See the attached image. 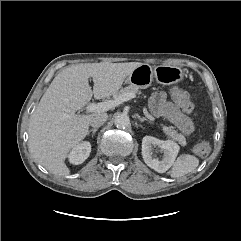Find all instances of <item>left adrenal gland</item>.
<instances>
[{
    "mask_svg": "<svg viewBox=\"0 0 241 241\" xmlns=\"http://www.w3.org/2000/svg\"><path fill=\"white\" fill-rule=\"evenodd\" d=\"M138 119H139L140 122L147 121V122H149V123H152L150 120H148V119L145 118V117H140V116H138Z\"/></svg>",
    "mask_w": 241,
    "mask_h": 241,
    "instance_id": "obj_1",
    "label": "left adrenal gland"
}]
</instances>
